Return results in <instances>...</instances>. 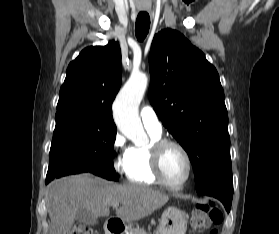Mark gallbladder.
<instances>
[{
    "instance_id": "obj_1",
    "label": "gallbladder",
    "mask_w": 279,
    "mask_h": 234,
    "mask_svg": "<svg viewBox=\"0 0 279 234\" xmlns=\"http://www.w3.org/2000/svg\"><path fill=\"white\" fill-rule=\"evenodd\" d=\"M75 219L81 223L94 225L97 222V217L85 208L78 207L75 213Z\"/></svg>"
}]
</instances>
